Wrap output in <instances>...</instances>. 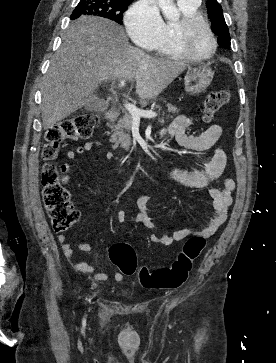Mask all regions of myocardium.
<instances>
[{
    "label": "myocardium",
    "mask_w": 276,
    "mask_h": 363,
    "mask_svg": "<svg viewBox=\"0 0 276 363\" xmlns=\"http://www.w3.org/2000/svg\"><path fill=\"white\" fill-rule=\"evenodd\" d=\"M202 25L207 30V33L212 41V49L210 53L204 56L196 55L192 53L188 46H187V38L190 35L191 31L199 26ZM174 39L175 43L178 47V49L182 52L183 56L192 61L196 62H205L210 60L216 53L218 43L217 39L215 37V34L211 28V25L207 21L206 18H204L201 14L196 13L189 16H183L180 18L174 28Z\"/></svg>",
    "instance_id": "1"
}]
</instances>
